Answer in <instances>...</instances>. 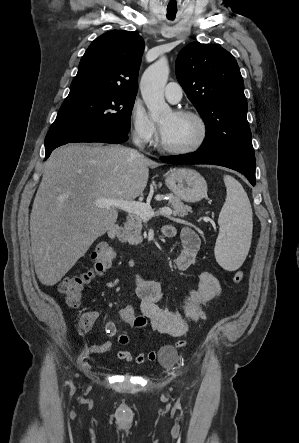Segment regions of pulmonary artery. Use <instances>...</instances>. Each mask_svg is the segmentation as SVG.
<instances>
[{
	"label": "pulmonary artery",
	"mask_w": 299,
	"mask_h": 443,
	"mask_svg": "<svg viewBox=\"0 0 299 443\" xmlns=\"http://www.w3.org/2000/svg\"><path fill=\"white\" fill-rule=\"evenodd\" d=\"M182 87L176 82H170L166 85L164 95L171 103H177L182 98Z\"/></svg>",
	"instance_id": "e3ab8cb5"
}]
</instances>
